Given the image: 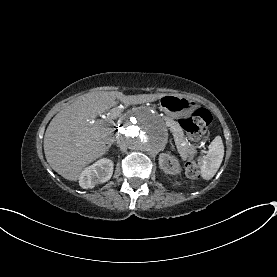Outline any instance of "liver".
Returning a JSON list of instances; mask_svg holds the SVG:
<instances>
[{
  "instance_id": "1",
  "label": "liver",
  "mask_w": 277,
  "mask_h": 277,
  "mask_svg": "<svg viewBox=\"0 0 277 277\" xmlns=\"http://www.w3.org/2000/svg\"><path fill=\"white\" fill-rule=\"evenodd\" d=\"M166 93L125 95L122 92L87 93L61 110L48 125L43 146L48 164L64 179L77 182L84 169L109 151L117 139L113 119L96 117L117 105L155 102Z\"/></svg>"
}]
</instances>
